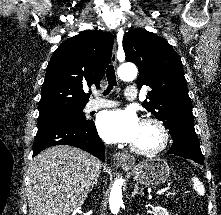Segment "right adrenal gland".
<instances>
[{"label": "right adrenal gland", "mask_w": 221, "mask_h": 215, "mask_svg": "<svg viewBox=\"0 0 221 215\" xmlns=\"http://www.w3.org/2000/svg\"><path fill=\"white\" fill-rule=\"evenodd\" d=\"M98 177H99V175L96 176L94 182L91 184L90 191L93 190L94 186H97V185H98Z\"/></svg>", "instance_id": "1"}]
</instances>
